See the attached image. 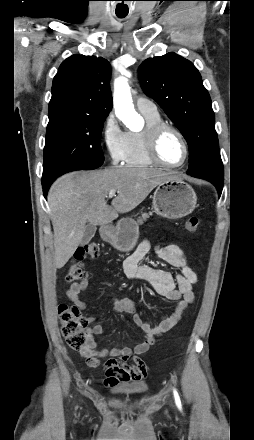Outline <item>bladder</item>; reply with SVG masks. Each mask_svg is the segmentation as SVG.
<instances>
[{
  "label": "bladder",
  "instance_id": "1",
  "mask_svg": "<svg viewBox=\"0 0 254 440\" xmlns=\"http://www.w3.org/2000/svg\"><path fill=\"white\" fill-rule=\"evenodd\" d=\"M148 390V385L146 383H135L130 386H127L121 390L122 393L125 394H142Z\"/></svg>",
  "mask_w": 254,
  "mask_h": 440
}]
</instances>
